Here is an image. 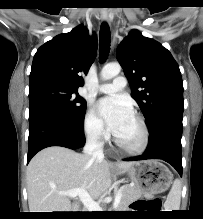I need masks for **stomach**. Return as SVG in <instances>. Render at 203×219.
Instances as JSON below:
<instances>
[{"label": "stomach", "mask_w": 203, "mask_h": 219, "mask_svg": "<svg viewBox=\"0 0 203 219\" xmlns=\"http://www.w3.org/2000/svg\"><path fill=\"white\" fill-rule=\"evenodd\" d=\"M126 172L136 188L148 198L165 192L172 184L171 172L157 160L135 162Z\"/></svg>", "instance_id": "1"}]
</instances>
